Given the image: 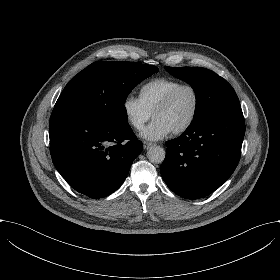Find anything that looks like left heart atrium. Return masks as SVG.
<instances>
[{"label":"left heart atrium","instance_id":"left-heart-atrium-1","mask_svg":"<svg viewBox=\"0 0 280 280\" xmlns=\"http://www.w3.org/2000/svg\"><path fill=\"white\" fill-rule=\"evenodd\" d=\"M173 128L161 118H154L150 125L145 128L140 136L149 141H159L173 132Z\"/></svg>","mask_w":280,"mask_h":280}]
</instances>
